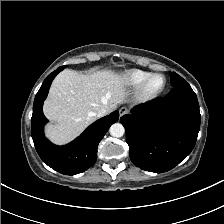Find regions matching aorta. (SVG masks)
I'll return each mask as SVG.
<instances>
[{"label": "aorta", "instance_id": "762f6f07", "mask_svg": "<svg viewBox=\"0 0 224 224\" xmlns=\"http://www.w3.org/2000/svg\"><path fill=\"white\" fill-rule=\"evenodd\" d=\"M109 131H110L111 136L119 138L124 135L125 128L123 127V125L121 123H114L110 127Z\"/></svg>", "mask_w": 224, "mask_h": 224}]
</instances>
